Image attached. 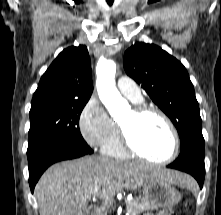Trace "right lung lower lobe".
I'll list each match as a JSON object with an SVG mask.
<instances>
[{
    "label": "right lung lower lobe",
    "instance_id": "obj_1",
    "mask_svg": "<svg viewBox=\"0 0 221 215\" xmlns=\"http://www.w3.org/2000/svg\"><path fill=\"white\" fill-rule=\"evenodd\" d=\"M93 150L84 143L71 141H54L47 143L30 154H27L29 164V184L33 193L34 187L42 173L52 164L92 154Z\"/></svg>",
    "mask_w": 221,
    "mask_h": 215
}]
</instances>
